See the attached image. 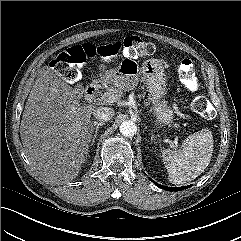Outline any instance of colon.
<instances>
[{
    "label": "colon",
    "instance_id": "1",
    "mask_svg": "<svg viewBox=\"0 0 241 241\" xmlns=\"http://www.w3.org/2000/svg\"><path fill=\"white\" fill-rule=\"evenodd\" d=\"M154 45L138 36L126 37L122 43L95 47L91 44L75 46L60 53L50 62L54 69L65 81L76 82L80 76V68L88 58L99 57L104 61L116 59L120 52L130 59L148 56L154 52ZM179 76L183 85L190 91L197 89L195 67L191 59L185 58L179 65ZM192 110L205 115L208 112V101L198 96L191 104Z\"/></svg>",
    "mask_w": 241,
    "mask_h": 241
}]
</instances>
